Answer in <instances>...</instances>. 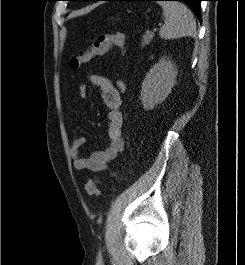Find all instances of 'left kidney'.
I'll return each mask as SVG.
<instances>
[{
  "label": "left kidney",
  "instance_id": "left-kidney-1",
  "mask_svg": "<svg viewBox=\"0 0 245 265\" xmlns=\"http://www.w3.org/2000/svg\"><path fill=\"white\" fill-rule=\"evenodd\" d=\"M177 69L175 63L161 58L146 74L140 94L145 110H151L161 103L175 84Z\"/></svg>",
  "mask_w": 245,
  "mask_h": 265
}]
</instances>
